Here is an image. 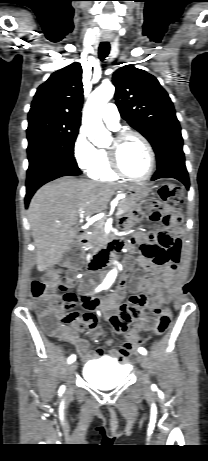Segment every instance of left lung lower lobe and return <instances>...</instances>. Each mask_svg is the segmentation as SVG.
<instances>
[{"label":"left lung lower lobe","instance_id":"0a47b994","mask_svg":"<svg viewBox=\"0 0 208 461\" xmlns=\"http://www.w3.org/2000/svg\"><path fill=\"white\" fill-rule=\"evenodd\" d=\"M164 177L175 178L181 181L186 188L189 189L190 183L185 166L184 154L171 156L165 162L160 164L151 180L154 181Z\"/></svg>","mask_w":208,"mask_h":461}]
</instances>
